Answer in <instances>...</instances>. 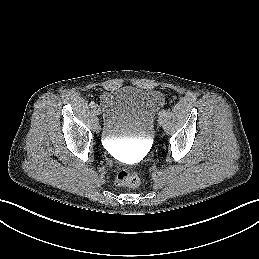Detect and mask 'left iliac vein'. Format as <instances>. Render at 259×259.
<instances>
[{
	"instance_id": "1",
	"label": "left iliac vein",
	"mask_w": 259,
	"mask_h": 259,
	"mask_svg": "<svg viewBox=\"0 0 259 259\" xmlns=\"http://www.w3.org/2000/svg\"><path fill=\"white\" fill-rule=\"evenodd\" d=\"M158 124H159V125H162V124H163V117H159V119H158Z\"/></svg>"
}]
</instances>
